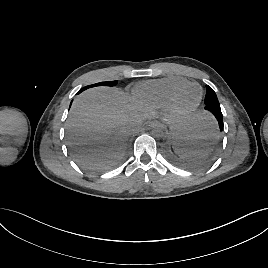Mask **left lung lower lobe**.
<instances>
[{
	"label": "left lung lower lobe",
	"instance_id": "0a47b994",
	"mask_svg": "<svg viewBox=\"0 0 268 268\" xmlns=\"http://www.w3.org/2000/svg\"><path fill=\"white\" fill-rule=\"evenodd\" d=\"M205 109L211 112L215 116V118L218 121L220 131H222L224 124H223V118H222L223 115H222L220 106H205Z\"/></svg>",
	"mask_w": 268,
	"mask_h": 268
}]
</instances>
